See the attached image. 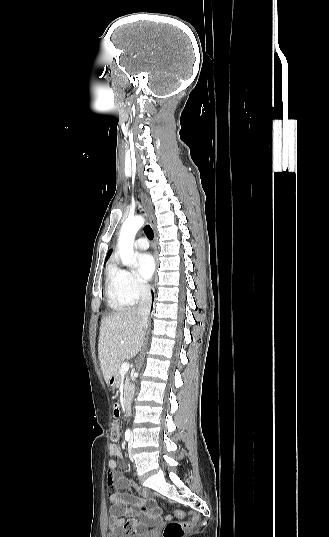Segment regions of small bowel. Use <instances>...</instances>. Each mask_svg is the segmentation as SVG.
Instances as JSON below:
<instances>
[{
    "label": "small bowel",
    "mask_w": 329,
    "mask_h": 537,
    "mask_svg": "<svg viewBox=\"0 0 329 537\" xmlns=\"http://www.w3.org/2000/svg\"><path fill=\"white\" fill-rule=\"evenodd\" d=\"M112 408L114 417L120 420L122 403L116 401ZM109 454L118 459L123 457L121 447L116 443L109 445ZM121 466L114 459L108 462L107 494L112 503L109 508V527L114 531L144 533L148 528L159 524L160 509L147 488L137 487L140 496L127 491L133 483L118 471Z\"/></svg>",
    "instance_id": "obj_1"
}]
</instances>
